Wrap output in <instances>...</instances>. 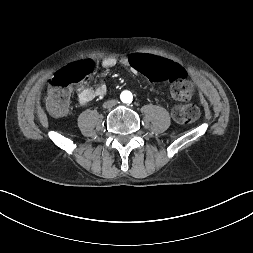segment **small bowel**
<instances>
[{
	"instance_id": "small-bowel-1",
	"label": "small bowel",
	"mask_w": 253,
	"mask_h": 253,
	"mask_svg": "<svg viewBox=\"0 0 253 253\" xmlns=\"http://www.w3.org/2000/svg\"><path fill=\"white\" fill-rule=\"evenodd\" d=\"M133 55L131 56H125L121 58L108 56L102 59L101 65L104 68H112L116 66L117 64H122L125 66H129V61ZM131 69V68H130ZM107 88L104 84H99L95 88L91 87H82L78 91V101L80 104H86L90 101H92L95 98L102 97L106 94Z\"/></svg>"
}]
</instances>
